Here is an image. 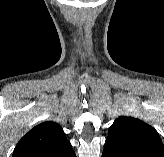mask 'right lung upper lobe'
<instances>
[{"label": "right lung upper lobe", "instance_id": "1", "mask_svg": "<svg viewBox=\"0 0 164 157\" xmlns=\"http://www.w3.org/2000/svg\"><path fill=\"white\" fill-rule=\"evenodd\" d=\"M67 142L66 135L59 124L44 122L22 137L12 157H45Z\"/></svg>", "mask_w": 164, "mask_h": 157}]
</instances>
